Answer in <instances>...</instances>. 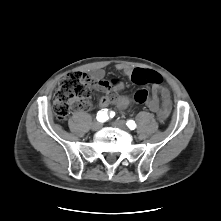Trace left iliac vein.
Returning a JSON list of instances; mask_svg holds the SVG:
<instances>
[{"mask_svg":"<svg viewBox=\"0 0 221 221\" xmlns=\"http://www.w3.org/2000/svg\"><path fill=\"white\" fill-rule=\"evenodd\" d=\"M112 125H113L114 127L120 128V129H122V130H124V131L127 130L126 124H125V122L122 121V120H116V121L112 122Z\"/></svg>","mask_w":221,"mask_h":221,"instance_id":"1","label":"left iliac vein"}]
</instances>
